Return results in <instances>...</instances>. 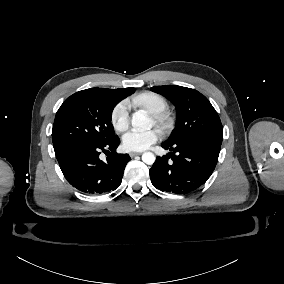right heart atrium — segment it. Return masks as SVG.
Segmentation results:
<instances>
[{
    "label": "right heart atrium",
    "mask_w": 284,
    "mask_h": 284,
    "mask_svg": "<svg viewBox=\"0 0 284 284\" xmlns=\"http://www.w3.org/2000/svg\"><path fill=\"white\" fill-rule=\"evenodd\" d=\"M130 102L127 99L118 102L111 113V124L116 131H122L128 124Z\"/></svg>",
    "instance_id": "right-heart-atrium-1"
}]
</instances>
